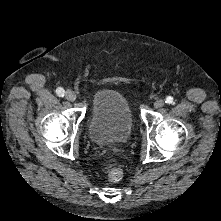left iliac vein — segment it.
Wrapping results in <instances>:
<instances>
[{"label":"left iliac vein","mask_w":221,"mask_h":221,"mask_svg":"<svg viewBox=\"0 0 221 221\" xmlns=\"http://www.w3.org/2000/svg\"><path fill=\"white\" fill-rule=\"evenodd\" d=\"M164 104H165V101L163 99H158L155 101L154 106L156 108H161L164 106Z\"/></svg>","instance_id":"4c4485c4"}]
</instances>
